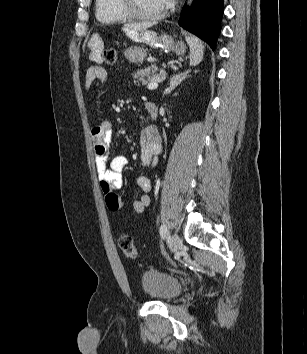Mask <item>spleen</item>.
Wrapping results in <instances>:
<instances>
[{
    "label": "spleen",
    "instance_id": "obj_1",
    "mask_svg": "<svg viewBox=\"0 0 307 354\" xmlns=\"http://www.w3.org/2000/svg\"><path fill=\"white\" fill-rule=\"evenodd\" d=\"M187 43L190 47V65L196 66L203 59L204 45H203L202 41H200L196 37H188Z\"/></svg>",
    "mask_w": 307,
    "mask_h": 354
}]
</instances>
